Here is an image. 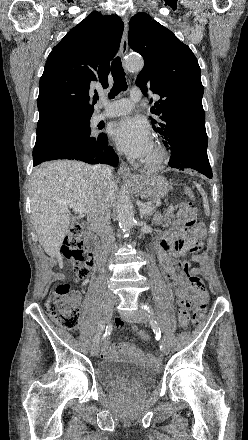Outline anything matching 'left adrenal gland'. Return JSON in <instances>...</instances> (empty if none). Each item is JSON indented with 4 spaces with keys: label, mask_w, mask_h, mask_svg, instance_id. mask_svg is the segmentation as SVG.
<instances>
[{
    "label": "left adrenal gland",
    "mask_w": 248,
    "mask_h": 440,
    "mask_svg": "<svg viewBox=\"0 0 248 440\" xmlns=\"http://www.w3.org/2000/svg\"><path fill=\"white\" fill-rule=\"evenodd\" d=\"M141 218L143 217L142 213H140Z\"/></svg>",
    "instance_id": "obj_1"
}]
</instances>
